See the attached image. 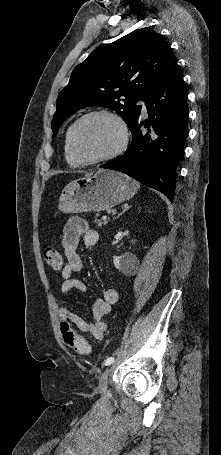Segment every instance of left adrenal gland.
Listing matches in <instances>:
<instances>
[{
  "instance_id": "left-adrenal-gland-1",
  "label": "left adrenal gland",
  "mask_w": 221,
  "mask_h": 455,
  "mask_svg": "<svg viewBox=\"0 0 221 455\" xmlns=\"http://www.w3.org/2000/svg\"><path fill=\"white\" fill-rule=\"evenodd\" d=\"M131 208V206H129L128 204H124L123 207H122V212L117 216V218H119L122 214H124L127 210H129Z\"/></svg>"
}]
</instances>
